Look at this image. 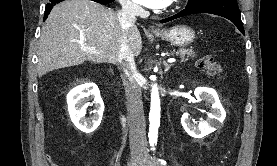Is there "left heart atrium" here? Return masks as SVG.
<instances>
[{
	"instance_id": "left-heart-atrium-1",
	"label": "left heart atrium",
	"mask_w": 277,
	"mask_h": 166,
	"mask_svg": "<svg viewBox=\"0 0 277 166\" xmlns=\"http://www.w3.org/2000/svg\"><path fill=\"white\" fill-rule=\"evenodd\" d=\"M137 3L153 9L165 8L171 4L172 0H135Z\"/></svg>"
}]
</instances>
